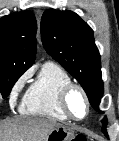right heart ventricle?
I'll return each instance as SVG.
<instances>
[{"label":"right heart ventricle","instance_id":"right-heart-ventricle-1","mask_svg":"<svg viewBox=\"0 0 119 141\" xmlns=\"http://www.w3.org/2000/svg\"><path fill=\"white\" fill-rule=\"evenodd\" d=\"M71 82L70 75L61 66L51 61L45 62L23 98L22 112L57 121L67 120L60 109L59 93Z\"/></svg>","mask_w":119,"mask_h":141}]
</instances>
